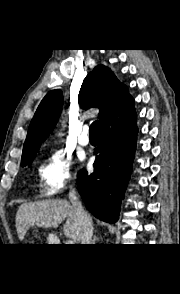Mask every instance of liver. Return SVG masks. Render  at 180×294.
Here are the masks:
<instances>
[{
    "mask_svg": "<svg viewBox=\"0 0 180 294\" xmlns=\"http://www.w3.org/2000/svg\"><path fill=\"white\" fill-rule=\"evenodd\" d=\"M66 219L64 235L76 244L80 242L78 220L74 208L66 200H42L20 205L15 219L18 238L22 241L32 226L56 228Z\"/></svg>",
    "mask_w": 180,
    "mask_h": 294,
    "instance_id": "1",
    "label": "liver"
}]
</instances>
